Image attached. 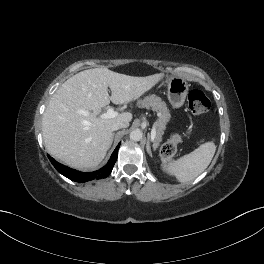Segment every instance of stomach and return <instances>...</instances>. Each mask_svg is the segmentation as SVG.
I'll use <instances>...</instances> for the list:
<instances>
[{"label": "stomach", "instance_id": "0dacf381", "mask_svg": "<svg viewBox=\"0 0 264 264\" xmlns=\"http://www.w3.org/2000/svg\"><path fill=\"white\" fill-rule=\"evenodd\" d=\"M162 84H167L168 100L174 108L181 107L188 94V84L186 80L179 76H164Z\"/></svg>", "mask_w": 264, "mask_h": 264}]
</instances>
